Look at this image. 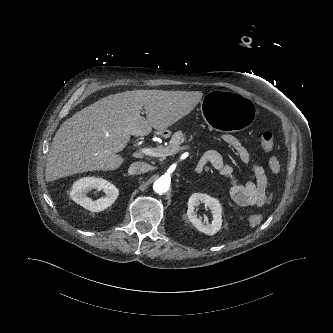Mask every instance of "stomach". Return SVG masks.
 Instances as JSON below:
<instances>
[{"mask_svg":"<svg viewBox=\"0 0 333 333\" xmlns=\"http://www.w3.org/2000/svg\"><path fill=\"white\" fill-rule=\"evenodd\" d=\"M201 117L214 130L242 134L255 121V108L249 99L230 91H214L201 103Z\"/></svg>","mask_w":333,"mask_h":333,"instance_id":"0dacf381","label":"stomach"}]
</instances>
